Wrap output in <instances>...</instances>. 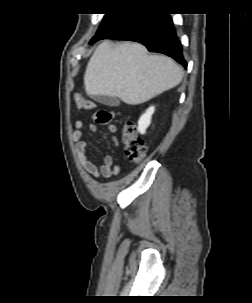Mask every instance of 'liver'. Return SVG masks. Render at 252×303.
Here are the masks:
<instances>
[{"label":"liver","instance_id":"obj_1","mask_svg":"<svg viewBox=\"0 0 252 303\" xmlns=\"http://www.w3.org/2000/svg\"><path fill=\"white\" fill-rule=\"evenodd\" d=\"M182 77L183 69L171 58L148 55L139 43L103 41L88 62L84 85L89 96H114L138 105L174 88Z\"/></svg>","mask_w":252,"mask_h":303}]
</instances>
